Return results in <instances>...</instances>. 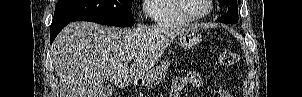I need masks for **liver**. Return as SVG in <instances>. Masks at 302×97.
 Instances as JSON below:
<instances>
[{
	"label": "liver",
	"mask_w": 302,
	"mask_h": 97,
	"mask_svg": "<svg viewBox=\"0 0 302 97\" xmlns=\"http://www.w3.org/2000/svg\"><path fill=\"white\" fill-rule=\"evenodd\" d=\"M184 30L173 25L114 29L91 22L70 23L51 49L60 97H101L104 79L128 86L153 68ZM129 56H133L130 66Z\"/></svg>",
	"instance_id": "obj_1"
}]
</instances>
